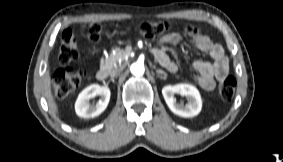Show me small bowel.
Returning a JSON list of instances; mask_svg holds the SVG:
<instances>
[{
	"label": "small bowel",
	"mask_w": 283,
	"mask_h": 162,
	"mask_svg": "<svg viewBox=\"0 0 283 162\" xmlns=\"http://www.w3.org/2000/svg\"><path fill=\"white\" fill-rule=\"evenodd\" d=\"M186 39L190 45L203 53H208L212 62L196 61L193 63L195 80L204 90H212L216 81L225 78L229 73V61L221 45L214 43L209 36L200 33L196 28L190 27L183 32L173 31L165 34L160 39V45L178 44ZM158 62L170 72L177 70V65L170 59L160 46L153 50Z\"/></svg>",
	"instance_id": "obj_1"
}]
</instances>
